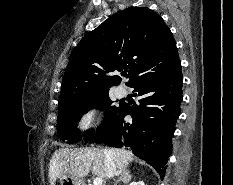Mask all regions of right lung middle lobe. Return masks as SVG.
I'll list each match as a JSON object with an SVG mask.
<instances>
[{
    "label": "right lung middle lobe",
    "instance_id": "right-lung-middle-lobe-1",
    "mask_svg": "<svg viewBox=\"0 0 233 185\" xmlns=\"http://www.w3.org/2000/svg\"><path fill=\"white\" fill-rule=\"evenodd\" d=\"M112 101L109 99L108 91L93 94L85 99L71 102L59 107L57 118V131L59 137L68 143H75L81 139L80 131L76 128L79 119L91 108H108V118L104 121V127L110 118L116 113L119 107L110 106ZM94 130L84 132V138L89 139L94 135Z\"/></svg>",
    "mask_w": 233,
    "mask_h": 185
}]
</instances>
